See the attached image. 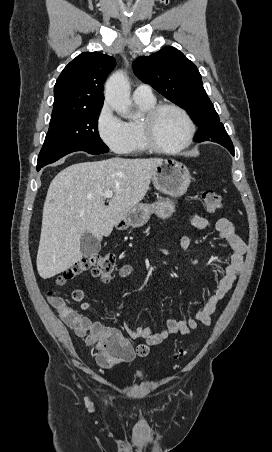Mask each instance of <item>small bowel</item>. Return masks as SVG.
Wrapping results in <instances>:
<instances>
[{"mask_svg": "<svg viewBox=\"0 0 272 452\" xmlns=\"http://www.w3.org/2000/svg\"><path fill=\"white\" fill-rule=\"evenodd\" d=\"M189 221L190 224L197 229H206L211 226L215 227V229L219 232L220 238L230 249L229 263L224 269V274L217 289L207 300L204 307L196 312L194 318L182 321L168 320L167 329L160 332H152L149 327L145 326H139L136 329H132L125 324L128 338H140L144 341L143 344L138 345L137 348L139 346H144L149 351L151 346L158 345L171 336L186 335L190 333L197 328L198 324L209 325L218 304L225 298L237 277L244 269V255L247 252V246L245 242L235 233L233 224L229 219L223 217L219 218L215 223H212L206 217L192 214ZM191 243L192 241L188 236H182L180 239V248L186 256H189ZM190 262L196 263L197 260L190 258ZM133 271V265L125 264L119 270V277L126 278L130 276ZM72 299L80 304V308L83 311L90 310L92 307V304L85 300V294L82 290H74L72 292ZM61 318L77 336L85 338L88 343L96 344L102 336H111L120 339L124 344L130 347L131 356L129 360H132L135 354L138 356H145L148 353L147 351L139 354L137 351H134L128 341V338L117 328L104 327L99 322H93L88 317L80 315L74 309H72L69 314L61 315Z\"/></svg>", "mask_w": 272, "mask_h": 452, "instance_id": "1", "label": "small bowel"}]
</instances>
